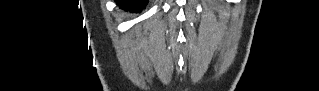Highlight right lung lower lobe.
I'll return each instance as SVG.
<instances>
[{"instance_id":"1","label":"right lung lower lobe","mask_w":319,"mask_h":91,"mask_svg":"<svg viewBox=\"0 0 319 91\" xmlns=\"http://www.w3.org/2000/svg\"><path fill=\"white\" fill-rule=\"evenodd\" d=\"M116 2L120 7L129 8L130 10L135 8L138 11L147 5L148 0H116Z\"/></svg>"}]
</instances>
